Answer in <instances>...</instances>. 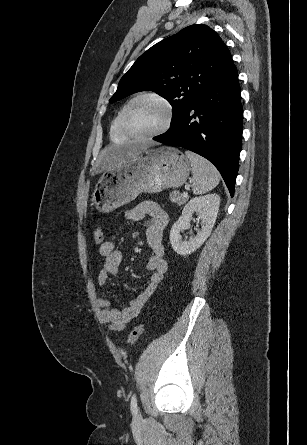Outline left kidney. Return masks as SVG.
Returning a JSON list of instances; mask_svg holds the SVG:
<instances>
[{"label": "left kidney", "mask_w": 307, "mask_h": 445, "mask_svg": "<svg viewBox=\"0 0 307 445\" xmlns=\"http://www.w3.org/2000/svg\"><path fill=\"white\" fill-rule=\"evenodd\" d=\"M220 204L219 194H205V196H196L191 198L184 206L181 216L174 223L170 231V243L178 255H191L197 251L206 239L210 237L214 227L216 216ZM193 212H198L199 218L203 220V227L197 231L196 237H190L189 241H183L181 231H184L189 225V218Z\"/></svg>", "instance_id": "1"}]
</instances>
